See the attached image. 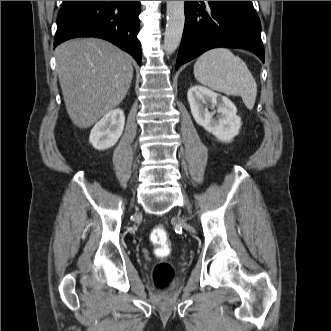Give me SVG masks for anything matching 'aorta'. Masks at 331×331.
Returning a JSON list of instances; mask_svg holds the SVG:
<instances>
[{"mask_svg": "<svg viewBox=\"0 0 331 331\" xmlns=\"http://www.w3.org/2000/svg\"><path fill=\"white\" fill-rule=\"evenodd\" d=\"M167 24L164 34V49L167 54H172L180 45L184 24L185 1H166Z\"/></svg>", "mask_w": 331, "mask_h": 331, "instance_id": "aorta-1", "label": "aorta"}]
</instances>
